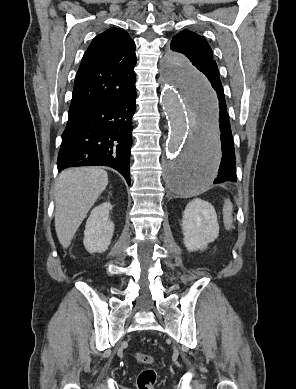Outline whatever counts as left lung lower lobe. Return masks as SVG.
<instances>
[{
    "instance_id": "left-lung-lower-lobe-1",
    "label": "left lung lower lobe",
    "mask_w": 296,
    "mask_h": 389,
    "mask_svg": "<svg viewBox=\"0 0 296 389\" xmlns=\"http://www.w3.org/2000/svg\"><path fill=\"white\" fill-rule=\"evenodd\" d=\"M209 80V86L213 90L216 97L217 115H218V127L216 129V136L220 144V158L221 162L217 171V178L214 180V184L224 181L236 182V170H235V153L233 145L232 130L227 112V105L225 102V96L223 87L220 81L218 70L213 72L207 77ZM214 131L211 128H206L202 134V146L207 147L212 142ZM201 151V144L197 136H193L190 147L183 160L178 164V174L184 172V178H188L194 173V165L198 160ZM179 181L182 182V178L177 176Z\"/></svg>"
}]
</instances>
